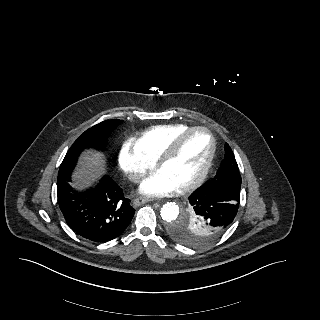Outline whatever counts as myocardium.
<instances>
[{
	"mask_svg": "<svg viewBox=\"0 0 320 320\" xmlns=\"http://www.w3.org/2000/svg\"><path fill=\"white\" fill-rule=\"evenodd\" d=\"M198 132L205 133L209 137V141H210L209 154H208L207 160H206L202 170L200 171V173L191 181L180 186L178 188L179 192H186V191L195 189L206 179V177L212 167V164H213V161L215 158V154H216V141H215V138H214L213 134L211 133V131L209 129H207L205 127H201V126H195V127H190L188 129H186L185 131L178 134L170 142V144L166 147V149L163 151V153L156 160V164H155L156 168L160 169L165 163L170 161L177 154L178 150L180 149V147L182 145V142L188 136H190L194 133H198Z\"/></svg>",
	"mask_w": 320,
	"mask_h": 320,
	"instance_id": "f54148a6",
	"label": "myocardium"
}]
</instances>
